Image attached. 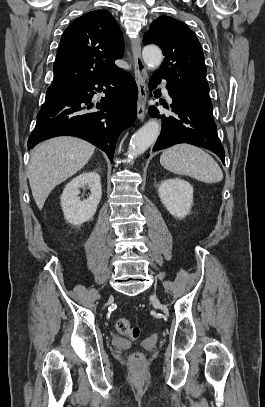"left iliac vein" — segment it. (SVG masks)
<instances>
[{
  "instance_id": "left-iliac-vein-1",
  "label": "left iliac vein",
  "mask_w": 265,
  "mask_h": 407,
  "mask_svg": "<svg viewBox=\"0 0 265 407\" xmlns=\"http://www.w3.org/2000/svg\"><path fill=\"white\" fill-rule=\"evenodd\" d=\"M151 301L155 306L159 305V300L156 298V296H151Z\"/></svg>"
}]
</instances>
